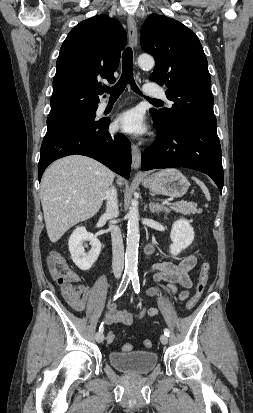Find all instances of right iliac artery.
I'll list each match as a JSON object with an SVG mask.
<instances>
[{
  "mask_svg": "<svg viewBox=\"0 0 253 413\" xmlns=\"http://www.w3.org/2000/svg\"><path fill=\"white\" fill-rule=\"evenodd\" d=\"M130 279H131V273H125L123 275L120 286H119V288H118V290H117V292L114 296V300L117 299L118 297H120L124 293V291L126 290V288L128 286V283H129ZM103 330H104V327H103V323H102L99 327V332H103Z\"/></svg>",
  "mask_w": 253,
  "mask_h": 413,
  "instance_id": "82829eb1",
  "label": "right iliac artery"
}]
</instances>
